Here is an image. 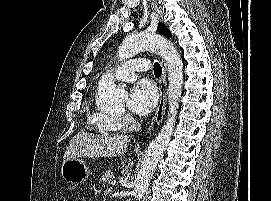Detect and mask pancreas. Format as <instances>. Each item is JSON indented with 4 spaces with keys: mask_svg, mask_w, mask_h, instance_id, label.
<instances>
[{
    "mask_svg": "<svg viewBox=\"0 0 271 201\" xmlns=\"http://www.w3.org/2000/svg\"><path fill=\"white\" fill-rule=\"evenodd\" d=\"M112 178H114V174L112 171H106L105 174L102 175L100 181L103 183V185H108L111 183Z\"/></svg>",
    "mask_w": 271,
    "mask_h": 201,
    "instance_id": "pancreas-1",
    "label": "pancreas"
}]
</instances>
